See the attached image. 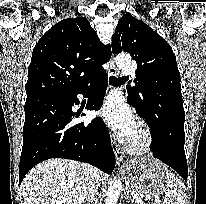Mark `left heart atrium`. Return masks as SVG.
Wrapping results in <instances>:
<instances>
[{
	"label": "left heart atrium",
	"mask_w": 206,
	"mask_h": 204,
	"mask_svg": "<svg viewBox=\"0 0 206 204\" xmlns=\"http://www.w3.org/2000/svg\"><path fill=\"white\" fill-rule=\"evenodd\" d=\"M100 116L122 136L130 137L136 128L132 110L117 95L107 99L100 110Z\"/></svg>",
	"instance_id": "1"
}]
</instances>
